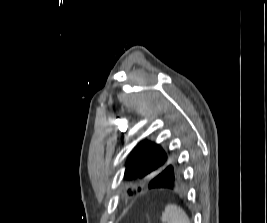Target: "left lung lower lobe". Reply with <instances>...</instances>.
I'll return each mask as SVG.
<instances>
[{"label":"left lung lower lobe","instance_id":"0a47b994","mask_svg":"<svg viewBox=\"0 0 267 223\" xmlns=\"http://www.w3.org/2000/svg\"><path fill=\"white\" fill-rule=\"evenodd\" d=\"M183 176H188V171L154 173V179L150 182H141L139 190H145V195H175V190L187 186L186 182H182Z\"/></svg>","mask_w":267,"mask_h":223}]
</instances>
